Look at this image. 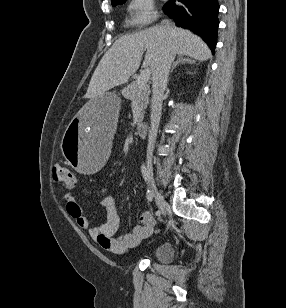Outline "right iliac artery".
Instances as JSON below:
<instances>
[{
	"label": "right iliac artery",
	"mask_w": 286,
	"mask_h": 308,
	"mask_svg": "<svg viewBox=\"0 0 286 308\" xmlns=\"http://www.w3.org/2000/svg\"><path fill=\"white\" fill-rule=\"evenodd\" d=\"M141 172H142V175H143V178H144L145 182H146L147 185H148L147 199H148L149 201H152V199H153V194H152V191L150 190V187H149L150 177H149V173H148L146 167L144 166V164L141 166ZM155 214H156L157 217H160L161 212L158 210V211H156Z\"/></svg>",
	"instance_id": "right-iliac-artery-1"
}]
</instances>
